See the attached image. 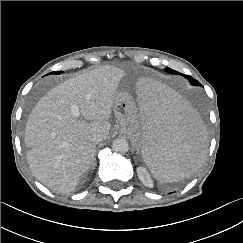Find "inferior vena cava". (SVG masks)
I'll return each mask as SVG.
<instances>
[{"label":"inferior vena cava","instance_id":"1","mask_svg":"<svg viewBox=\"0 0 243 243\" xmlns=\"http://www.w3.org/2000/svg\"><path fill=\"white\" fill-rule=\"evenodd\" d=\"M104 139V136L102 135V134H95L93 137H92V141L94 142V143H99V142H101L102 140Z\"/></svg>","mask_w":243,"mask_h":243}]
</instances>
